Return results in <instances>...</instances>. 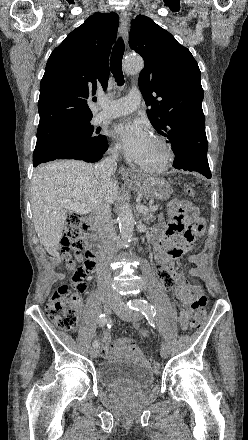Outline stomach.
<instances>
[{"mask_svg":"<svg viewBox=\"0 0 248 440\" xmlns=\"http://www.w3.org/2000/svg\"><path fill=\"white\" fill-rule=\"evenodd\" d=\"M130 186L139 196L166 200L173 192L170 184L163 178L137 176Z\"/></svg>","mask_w":248,"mask_h":440,"instance_id":"obj_1","label":"stomach"}]
</instances>
